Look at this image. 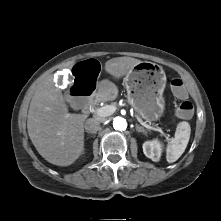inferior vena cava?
Segmentation results:
<instances>
[{
  "label": "inferior vena cava",
  "mask_w": 221,
  "mask_h": 221,
  "mask_svg": "<svg viewBox=\"0 0 221 221\" xmlns=\"http://www.w3.org/2000/svg\"><path fill=\"white\" fill-rule=\"evenodd\" d=\"M85 130L88 133H96L100 130V121L95 118H89L85 121Z\"/></svg>",
  "instance_id": "602c4592"
}]
</instances>
